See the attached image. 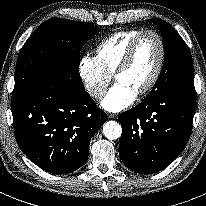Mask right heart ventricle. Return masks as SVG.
I'll use <instances>...</instances> for the list:
<instances>
[{
    "mask_svg": "<svg viewBox=\"0 0 206 206\" xmlns=\"http://www.w3.org/2000/svg\"><path fill=\"white\" fill-rule=\"evenodd\" d=\"M142 29H128L118 31L103 40L96 49V58L104 71L113 75L122 60L129 44Z\"/></svg>",
    "mask_w": 206,
    "mask_h": 206,
    "instance_id": "obj_1",
    "label": "right heart ventricle"
}]
</instances>
